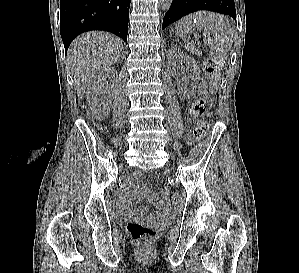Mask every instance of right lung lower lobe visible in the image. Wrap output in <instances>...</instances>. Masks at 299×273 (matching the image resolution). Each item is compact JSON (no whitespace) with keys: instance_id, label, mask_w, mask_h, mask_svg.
Returning a JSON list of instances; mask_svg holds the SVG:
<instances>
[{"instance_id":"right-lung-lower-lobe-1","label":"right lung lower lobe","mask_w":299,"mask_h":273,"mask_svg":"<svg viewBox=\"0 0 299 273\" xmlns=\"http://www.w3.org/2000/svg\"><path fill=\"white\" fill-rule=\"evenodd\" d=\"M130 0H61L60 33L67 51L79 34L104 30L127 43Z\"/></svg>"}]
</instances>
